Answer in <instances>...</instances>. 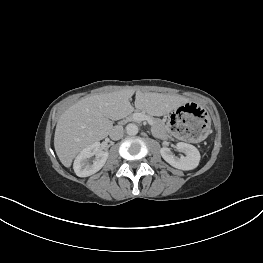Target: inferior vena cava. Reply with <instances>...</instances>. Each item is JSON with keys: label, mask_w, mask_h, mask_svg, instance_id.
<instances>
[{"label": "inferior vena cava", "mask_w": 263, "mask_h": 263, "mask_svg": "<svg viewBox=\"0 0 263 263\" xmlns=\"http://www.w3.org/2000/svg\"><path fill=\"white\" fill-rule=\"evenodd\" d=\"M124 130L122 126H114L112 130L110 131V138L112 140H119L123 137Z\"/></svg>", "instance_id": "obj_1"}]
</instances>
